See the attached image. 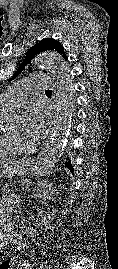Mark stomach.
Wrapping results in <instances>:
<instances>
[{"label":"stomach","instance_id":"0dacf381","mask_svg":"<svg viewBox=\"0 0 118 269\" xmlns=\"http://www.w3.org/2000/svg\"><path fill=\"white\" fill-rule=\"evenodd\" d=\"M31 169V164L29 162H21V163H16L12 164L10 167L6 168L5 171L2 173L0 172V177L1 176H24L28 174V172Z\"/></svg>","mask_w":118,"mask_h":269}]
</instances>
